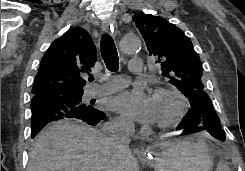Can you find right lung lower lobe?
Here are the masks:
<instances>
[{"instance_id": "obj_1", "label": "right lung lower lobe", "mask_w": 245, "mask_h": 171, "mask_svg": "<svg viewBox=\"0 0 245 171\" xmlns=\"http://www.w3.org/2000/svg\"><path fill=\"white\" fill-rule=\"evenodd\" d=\"M82 94L70 93L65 95L40 94L31 101V137L39 133L48 123L64 118H77L89 125L96 126L105 119L104 112L77 103V97Z\"/></svg>"}]
</instances>
